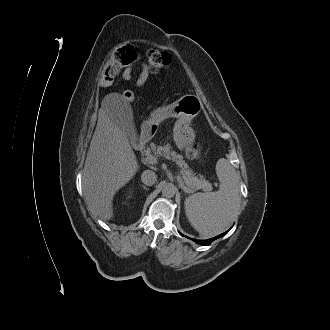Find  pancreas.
I'll return each mask as SVG.
<instances>
[{
	"label": "pancreas",
	"mask_w": 330,
	"mask_h": 330,
	"mask_svg": "<svg viewBox=\"0 0 330 330\" xmlns=\"http://www.w3.org/2000/svg\"><path fill=\"white\" fill-rule=\"evenodd\" d=\"M153 152L156 157H164L168 160H172L178 164L181 168L180 173L182 175L183 183L192 190L210 191L212 185L203 176H195L193 171L189 168L188 164L185 163L183 157L172 150L169 143L163 146H153L151 149H147L146 153Z\"/></svg>",
	"instance_id": "obj_1"
}]
</instances>
